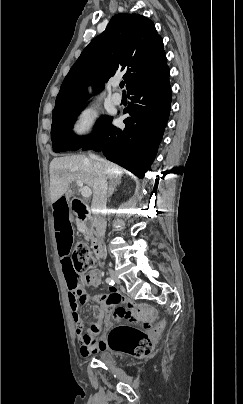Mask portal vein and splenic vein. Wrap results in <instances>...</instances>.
Instances as JSON below:
<instances>
[{
    "instance_id": "18ae733b",
    "label": "portal vein and splenic vein",
    "mask_w": 243,
    "mask_h": 404,
    "mask_svg": "<svg viewBox=\"0 0 243 404\" xmlns=\"http://www.w3.org/2000/svg\"><path fill=\"white\" fill-rule=\"evenodd\" d=\"M77 184L78 186H81V194L83 198H90L92 194L90 188H87V186H83V182H81V180H77Z\"/></svg>"
}]
</instances>
